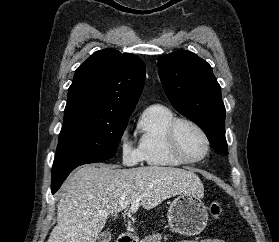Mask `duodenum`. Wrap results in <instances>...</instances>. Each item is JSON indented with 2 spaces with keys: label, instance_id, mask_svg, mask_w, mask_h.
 Returning <instances> with one entry per match:
<instances>
[{
  "label": "duodenum",
  "instance_id": "duodenum-1",
  "mask_svg": "<svg viewBox=\"0 0 279 242\" xmlns=\"http://www.w3.org/2000/svg\"><path fill=\"white\" fill-rule=\"evenodd\" d=\"M117 242H134V238L130 234L124 233L118 237Z\"/></svg>",
  "mask_w": 279,
  "mask_h": 242
}]
</instances>
